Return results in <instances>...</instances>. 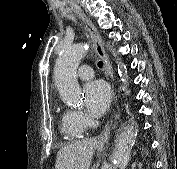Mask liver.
<instances>
[{"instance_id":"obj_1","label":"liver","mask_w":177,"mask_h":169,"mask_svg":"<svg viewBox=\"0 0 177 169\" xmlns=\"http://www.w3.org/2000/svg\"><path fill=\"white\" fill-rule=\"evenodd\" d=\"M101 145L95 138L65 145L57 153L55 169H89L94 152Z\"/></svg>"}]
</instances>
